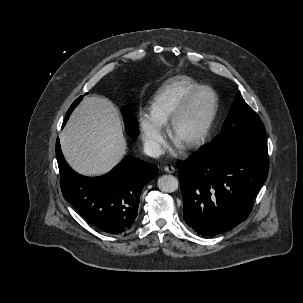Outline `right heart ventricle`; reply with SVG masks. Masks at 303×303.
I'll return each instance as SVG.
<instances>
[{
  "mask_svg": "<svg viewBox=\"0 0 303 303\" xmlns=\"http://www.w3.org/2000/svg\"><path fill=\"white\" fill-rule=\"evenodd\" d=\"M201 86L187 76H176L165 81L151 100V115L162 125L166 124L188 95Z\"/></svg>",
  "mask_w": 303,
  "mask_h": 303,
  "instance_id": "e07e8e85",
  "label": "right heart ventricle"
}]
</instances>
